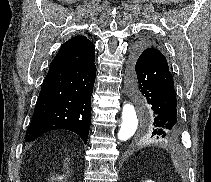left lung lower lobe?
Returning a JSON list of instances; mask_svg holds the SVG:
<instances>
[{"instance_id": "obj_1", "label": "left lung lower lobe", "mask_w": 211, "mask_h": 182, "mask_svg": "<svg viewBox=\"0 0 211 182\" xmlns=\"http://www.w3.org/2000/svg\"><path fill=\"white\" fill-rule=\"evenodd\" d=\"M127 83L134 99L150 106L153 118L147 136L177 139L181 126L171 68L164 54L145 39L132 48Z\"/></svg>"}]
</instances>
